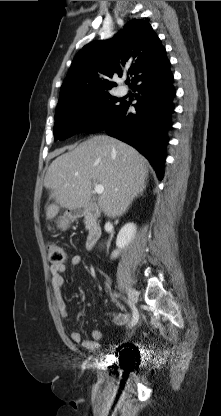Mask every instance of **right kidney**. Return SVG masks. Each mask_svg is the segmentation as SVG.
<instances>
[{
  "instance_id": "1",
  "label": "right kidney",
  "mask_w": 221,
  "mask_h": 416,
  "mask_svg": "<svg viewBox=\"0 0 221 416\" xmlns=\"http://www.w3.org/2000/svg\"><path fill=\"white\" fill-rule=\"evenodd\" d=\"M136 234V225L134 223L125 224L119 231L116 239L117 249L112 253V258H117L121 250L125 249L134 239Z\"/></svg>"
}]
</instances>
